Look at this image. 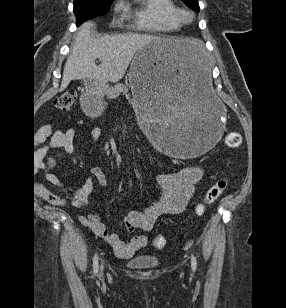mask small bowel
I'll list each match as a JSON object with an SVG mask.
<instances>
[{"label":"small bowel","mask_w":286,"mask_h":308,"mask_svg":"<svg viewBox=\"0 0 286 308\" xmlns=\"http://www.w3.org/2000/svg\"><path fill=\"white\" fill-rule=\"evenodd\" d=\"M75 135L76 132L73 128L54 131L51 125L41 126L36 133V142L40 146L37 152L38 166L44 172L46 180L54 185H60V182L52 171L55 160L47 157V152L49 149H64L68 153H74L76 151ZM90 135L96 141L101 136V130L93 128ZM91 173V179L87 180L82 187L70 192L72 204L76 207H82L87 203L96 183L101 187H105L107 184V176L100 167L94 166ZM202 176V169L196 165H187L175 172L157 175L155 180L160 195L150 201L143 210H132L128 213L124 218V226L127 231H150L154 228L159 216L183 212L194 195L196 185ZM42 197L56 205L65 204L64 198L49 191H44ZM79 220L97 236L104 239L117 257L130 258L136 251L147 246L148 240L145 235L138 233L129 241H124L116 233L110 232L95 214L81 216Z\"/></svg>","instance_id":"c3829d8e"}]
</instances>
